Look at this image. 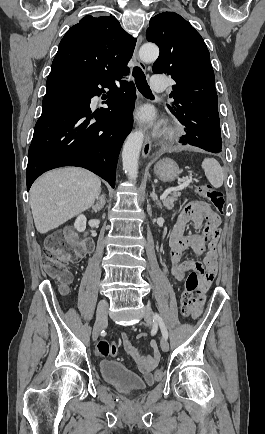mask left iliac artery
<instances>
[{"instance_id": "obj_1", "label": "left iliac artery", "mask_w": 265, "mask_h": 434, "mask_svg": "<svg viewBox=\"0 0 265 434\" xmlns=\"http://www.w3.org/2000/svg\"><path fill=\"white\" fill-rule=\"evenodd\" d=\"M154 319H155V321L158 322L163 337H164L165 339H167V338H168V331H167V328H166V326H165V324H164V322H163L161 316H160L159 314L155 313V314H154Z\"/></svg>"}]
</instances>
